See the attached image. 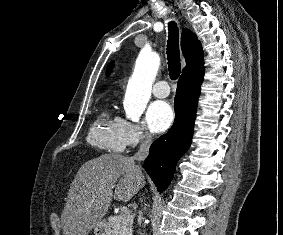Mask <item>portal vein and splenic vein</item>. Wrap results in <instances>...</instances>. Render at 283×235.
Wrapping results in <instances>:
<instances>
[{
  "label": "portal vein and splenic vein",
  "mask_w": 283,
  "mask_h": 235,
  "mask_svg": "<svg viewBox=\"0 0 283 235\" xmlns=\"http://www.w3.org/2000/svg\"><path fill=\"white\" fill-rule=\"evenodd\" d=\"M120 211H121V214H123V215H128L130 213L128 208L125 207V206L120 207Z\"/></svg>",
  "instance_id": "obj_1"
}]
</instances>
